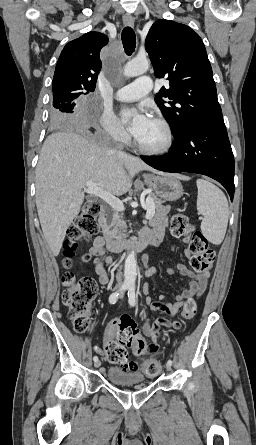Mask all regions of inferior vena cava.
I'll use <instances>...</instances> for the list:
<instances>
[{
    "instance_id": "1",
    "label": "inferior vena cava",
    "mask_w": 256,
    "mask_h": 445,
    "mask_svg": "<svg viewBox=\"0 0 256 445\" xmlns=\"http://www.w3.org/2000/svg\"><path fill=\"white\" fill-rule=\"evenodd\" d=\"M116 280H117V286L120 287L122 284V275L120 272L117 273Z\"/></svg>"
}]
</instances>
